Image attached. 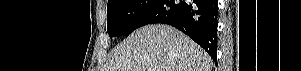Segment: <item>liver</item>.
Instances as JSON below:
<instances>
[{
  "label": "liver",
  "mask_w": 301,
  "mask_h": 71,
  "mask_svg": "<svg viewBox=\"0 0 301 71\" xmlns=\"http://www.w3.org/2000/svg\"><path fill=\"white\" fill-rule=\"evenodd\" d=\"M213 61L179 30L143 26L118 44L102 71H211Z\"/></svg>",
  "instance_id": "6515ba94"
}]
</instances>
